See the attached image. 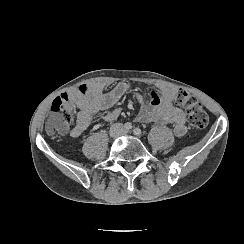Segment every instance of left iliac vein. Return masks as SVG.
I'll list each match as a JSON object with an SVG mask.
<instances>
[{
	"label": "left iliac vein",
	"mask_w": 244,
	"mask_h": 244,
	"mask_svg": "<svg viewBox=\"0 0 244 244\" xmlns=\"http://www.w3.org/2000/svg\"><path fill=\"white\" fill-rule=\"evenodd\" d=\"M127 133H128V131H125V130H124V135H126Z\"/></svg>",
	"instance_id": "obj_1"
}]
</instances>
